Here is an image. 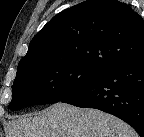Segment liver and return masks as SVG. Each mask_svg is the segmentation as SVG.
Masks as SVG:
<instances>
[{
    "mask_svg": "<svg viewBox=\"0 0 144 137\" xmlns=\"http://www.w3.org/2000/svg\"><path fill=\"white\" fill-rule=\"evenodd\" d=\"M8 137H138L121 119L97 109L58 102L38 115L14 117Z\"/></svg>",
    "mask_w": 144,
    "mask_h": 137,
    "instance_id": "6515ba94",
    "label": "liver"
}]
</instances>
